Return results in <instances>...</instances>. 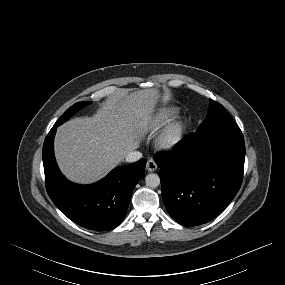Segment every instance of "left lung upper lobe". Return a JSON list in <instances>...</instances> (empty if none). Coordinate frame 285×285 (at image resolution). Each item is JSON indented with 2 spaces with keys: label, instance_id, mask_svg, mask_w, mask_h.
<instances>
[{
  "label": "left lung upper lobe",
  "instance_id": "left-lung-upper-lobe-1",
  "mask_svg": "<svg viewBox=\"0 0 285 285\" xmlns=\"http://www.w3.org/2000/svg\"><path fill=\"white\" fill-rule=\"evenodd\" d=\"M239 133H241L240 128L225 111V108L218 102L210 100L207 117L198 127L197 132L192 134L195 137L204 138Z\"/></svg>",
  "mask_w": 285,
  "mask_h": 285
}]
</instances>
